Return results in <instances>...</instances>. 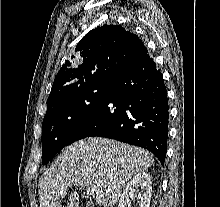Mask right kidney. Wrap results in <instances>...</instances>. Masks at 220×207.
<instances>
[{
	"label": "right kidney",
	"instance_id": "right-kidney-1",
	"mask_svg": "<svg viewBox=\"0 0 220 207\" xmlns=\"http://www.w3.org/2000/svg\"><path fill=\"white\" fill-rule=\"evenodd\" d=\"M138 191L140 192L136 194ZM151 195V176L146 172L137 173L124 189L118 207H130L132 197L137 198L139 207H150Z\"/></svg>",
	"mask_w": 220,
	"mask_h": 207
}]
</instances>
